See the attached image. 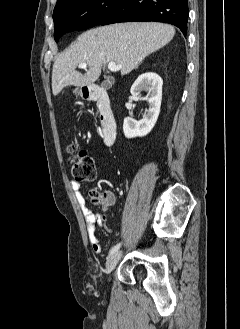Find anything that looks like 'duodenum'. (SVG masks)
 I'll return each mask as SVG.
<instances>
[{"label":"duodenum","mask_w":240,"mask_h":329,"mask_svg":"<svg viewBox=\"0 0 240 329\" xmlns=\"http://www.w3.org/2000/svg\"><path fill=\"white\" fill-rule=\"evenodd\" d=\"M84 95L87 100L96 102L104 142L107 145L113 144L117 137L118 126L108 94L102 87L92 84L84 87Z\"/></svg>","instance_id":"duodenum-1"}]
</instances>
